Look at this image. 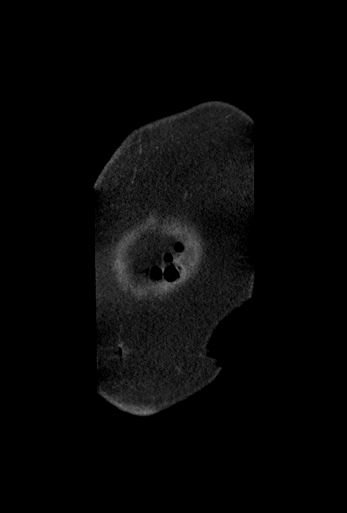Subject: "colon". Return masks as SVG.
<instances>
[{
	"mask_svg": "<svg viewBox=\"0 0 347 513\" xmlns=\"http://www.w3.org/2000/svg\"><path fill=\"white\" fill-rule=\"evenodd\" d=\"M162 274H164L167 278L172 279V278L175 277L176 271L173 268H168L167 270H165L164 273H162L160 270H158V271H155L153 275L154 276H159V275H162Z\"/></svg>",
	"mask_w": 347,
	"mask_h": 513,
	"instance_id": "5ec220e1",
	"label": "colon"
}]
</instances>
